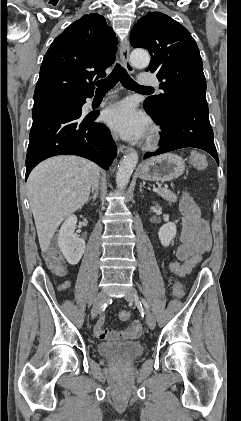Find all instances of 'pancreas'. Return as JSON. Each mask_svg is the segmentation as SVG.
Instances as JSON below:
<instances>
[{
    "instance_id": "cf45deb5",
    "label": "pancreas",
    "mask_w": 241,
    "mask_h": 421,
    "mask_svg": "<svg viewBox=\"0 0 241 421\" xmlns=\"http://www.w3.org/2000/svg\"><path fill=\"white\" fill-rule=\"evenodd\" d=\"M157 194L169 202L177 201V195L174 194L172 191L168 190L167 188L158 187Z\"/></svg>"
}]
</instances>
